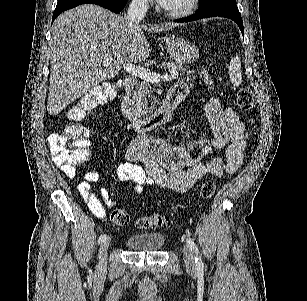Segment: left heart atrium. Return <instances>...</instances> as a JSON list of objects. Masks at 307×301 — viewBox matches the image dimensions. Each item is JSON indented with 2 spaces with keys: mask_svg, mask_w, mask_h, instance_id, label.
Masks as SVG:
<instances>
[{
  "mask_svg": "<svg viewBox=\"0 0 307 301\" xmlns=\"http://www.w3.org/2000/svg\"><path fill=\"white\" fill-rule=\"evenodd\" d=\"M159 4H169L170 0H158ZM125 62H138V61H125Z\"/></svg>",
  "mask_w": 307,
  "mask_h": 301,
  "instance_id": "39dd6f15",
  "label": "left heart atrium"
}]
</instances>
